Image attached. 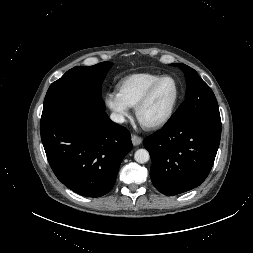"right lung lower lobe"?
<instances>
[{
	"label": "right lung lower lobe",
	"instance_id": "right-lung-lower-lobe-1",
	"mask_svg": "<svg viewBox=\"0 0 253 253\" xmlns=\"http://www.w3.org/2000/svg\"><path fill=\"white\" fill-rule=\"evenodd\" d=\"M41 139L49 164L67 188L100 197L114 186L131 135L112 122L105 105L64 106L41 118Z\"/></svg>",
	"mask_w": 253,
	"mask_h": 253
}]
</instances>
